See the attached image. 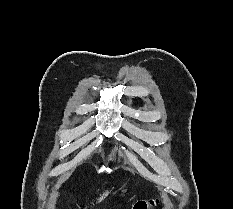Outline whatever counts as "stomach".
Here are the masks:
<instances>
[{"label":"stomach","instance_id":"0dacf381","mask_svg":"<svg viewBox=\"0 0 233 209\" xmlns=\"http://www.w3.org/2000/svg\"><path fill=\"white\" fill-rule=\"evenodd\" d=\"M127 192V189L121 190V195H124Z\"/></svg>","mask_w":233,"mask_h":209}]
</instances>
